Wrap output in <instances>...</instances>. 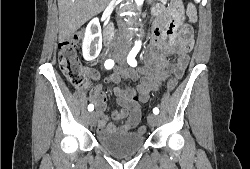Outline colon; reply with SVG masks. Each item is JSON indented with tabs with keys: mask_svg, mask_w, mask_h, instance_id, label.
Wrapping results in <instances>:
<instances>
[{
	"mask_svg": "<svg viewBox=\"0 0 250 169\" xmlns=\"http://www.w3.org/2000/svg\"><path fill=\"white\" fill-rule=\"evenodd\" d=\"M188 13L194 14L195 9L192 5L188 7ZM188 30L184 28L183 32L186 33ZM82 34H75L73 38H66L62 40L58 46V63L60 69L67 79V81L75 88L86 89L87 88V78L85 70L77 56V46L78 43L82 41ZM178 78L171 77L169 82H167V96L168 92H172L176 86H178ZM131 100H139V95H131ZM141 132H145L146 128L141 127Z\"/></svg>",
	"mask_w": 250,
	"mask_h": 169,
	"instance_id": "colon-1",
	"label": "colon"
}]
</instances>
